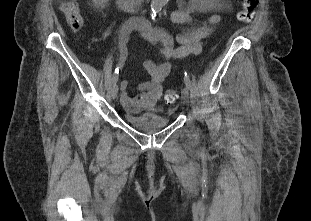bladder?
I'll use <instances>...</instances> for the list:
<instances>
[{
    "mask_svg": "<svg viewBox=\"0 0 311 221\" xmlns=\"http://www.w3.org/2000/svg\"><path fill=\"white\" fill-rule=\"evenodd\" d=\"M169 112L168 108H161L160 110H156V112H144L141 114H135L128 109L122 110L126 123L135 126L138 131L147 135L155 134L158 130L168 127L171 124V118L162 116L168 115Z\"/></svg>",
    "mask_w": 311,
    "mask_h": 221,
    "instance_id": "1",
    "label": "bladder"
}]
</instances>
